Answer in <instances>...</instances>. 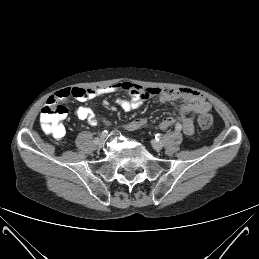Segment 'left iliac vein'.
I'll list each match as a JSON object with an SVG mask.
<instances>
[{
  "label": "left iliac vein",
  "instance_id": "obj_1",
  "mask_svg": "<svg viewBox=\"0 0 259 259\" xmlns=\"http://www.w3.org/2000/svg\"><path fill=\"white\" fill-rule=\"evenodd\" d=\"M152 146L155 150H161L163 148V143L161 141H153Z\"/></svg>",
  "mask_w": 259,
  "mask_h": 259
}]
</instances>
